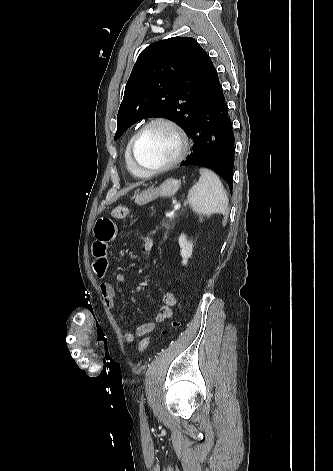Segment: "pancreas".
Listing matches in <instances>:
<instances>
[{
  "label": "pancreas",
  "instance_id": "pancreas-1",
  "mask_svg": "<svg viewBox=\"0 0 333 471\" xmlns=\"http://www.w3.org/2000/svg\"><path fill=\"white\" fill-rule=\"evenodd\" d=\"M178 215L175 214L169 218H164L161 222H160V227L161 228H164L166 231L169 230V229H172L175 225V218L177 217Z\"/></svg>",
  "mask_w": 333,
  "mask_h": 471
}]
</instances>
